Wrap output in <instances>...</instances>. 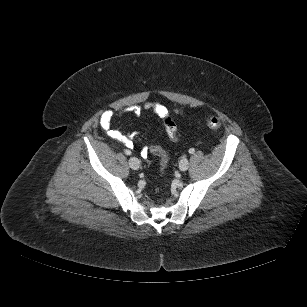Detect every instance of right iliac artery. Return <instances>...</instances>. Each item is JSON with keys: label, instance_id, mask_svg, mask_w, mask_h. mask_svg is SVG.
Returning a JSON list of instances; mask_svg holds the SVG:
<instances>
[{"label": "right iliac artery", "instance_id": "right-iliac-artery-1", "mask_svg": "<svg viewBox=\"0 0 307 307\" xmlns=\"http://www.w3.org/2000/svg\"><path fill=\"white\" fill-rule=\"evenodd\" d=\"M124 152H125L126 155H130L131 154V151H129V150H125Z\"/></svg>", "mask_w": 307, "mask_h": 307}]
</instances>
